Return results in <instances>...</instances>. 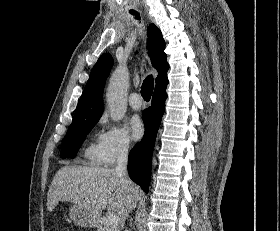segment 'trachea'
<instances>
[{
	"label": "trachea",
	"instance_id": "1",
	"mask_svg": "<svg viewBox=\"0 0 280 231\" xmlns=\"http://www.w3.org/2000/svg\"><path fill=\"white\" fill-rule=\"evenodd\" d=\"M130 13L135 15L137 18H139V15L134 10H131ZM153 89H154V80L153 77L150 75L143 81V84L141 86V95L145 101L150 100Z\"/></svg>",
	"mask_w": 280,
	"mask_h": 231
}]
</instances>
